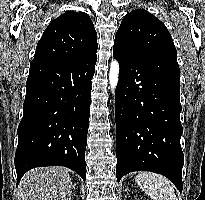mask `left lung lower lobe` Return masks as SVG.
Returning a JSON list of instances; mask_svg holds the SVG:
<instances>
[{
  "mask_svg": "<svg viewBox=\"0 0 205 200\" xmlns=\"http://www.w3.org/2000/svg\"><path fill=\"white\" fill-rule=\"evenodd\" d=\"M120 77L115 92L117 181L133 171L162 174L182 191L180 69L177 54L134 58L113 48Z\"/></svg>",
  "mask_w": 205,
  "mask_h": 200,
  "instance_id": "0a47b994",
  "label": "left lung lower lobe"
}]
</instances>
